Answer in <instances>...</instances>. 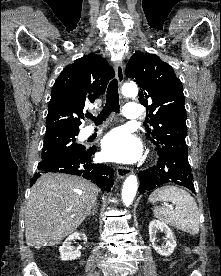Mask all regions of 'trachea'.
<instances>
[{
    "mask_svg": "<svg viewBox=\"0 0 221 276\" xmlns=\"http://www.w3.org/2000/svg\"><path fill=\"white\" fill-rule=\"evenodd\" d=\"M119 94H118V81L116 79L112 80L107 89L106 104L101 111V113L94 117L92 114H87L86 117L93 120L96 124H101L108 118L111 112L119 113Z\"/></svg>",
    "mask_w": 221,
    "mask_h": 276,
    "instance_id": "trachea-1",
    "label": "trachea"
}]
</instances>
